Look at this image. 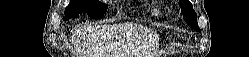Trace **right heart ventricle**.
Listing matches in <instances>:
<instances>
[{"instance_id":"right-heart-ventricle-1","label":"right heart ventricle","mask_w":249,"mask_h":57,"mask_svg":"<svg viewBox=\"0 0 249 57\" xmlns=\"http://www.w3.org/2000/svg\"><path fill=\"white\" fill-rule=\"evenodd\" d=\"M150 13L153 15V16H156V17H161L163 15V13L161 12V10L157 7H152L150 9Z\"/></svg>"}]
</instances>
